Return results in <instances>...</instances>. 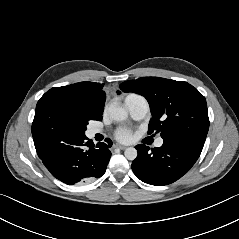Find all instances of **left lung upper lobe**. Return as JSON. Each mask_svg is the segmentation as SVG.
Here are the masks:
<instances>
[{"instance_id":"1","label":"left lung upper lobe","mask_w":239,"mask_h":239,"mask_svg":"<svg viewBox=\"0 0 239 239\" xmlns=\"http://www.w3.org/2000/svg\"><path fill=\"white\" fill-rule=\"evenodd\" d=\"M120 89L138 93L149 102L152 118L148 134L160 132L163 139L203 148L209 129L207 104L192 85L160 77H142L123 82Z\"/></svg>"}]
</instances>
